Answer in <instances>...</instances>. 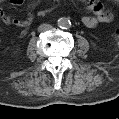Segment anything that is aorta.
I'll return each instance as SVG.
<instances>
[{
	"label": "aorta",
	"mask_w": 119,
	"mask_h": 119,
	"mask_svg": "<svg viewBox=\"0 0 119 119\" xmlns=\"http://www.w3.org/2000/svg\"><path fill=\"white\" fill-rule=\"evenodd\" d=\"M58 25L61 28H68L70 26V20H68L67 18H60L58 19Z\"/></svg>",
	"instance_id": "obj_1"
}]
</instances>
